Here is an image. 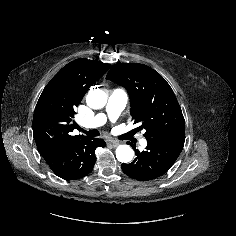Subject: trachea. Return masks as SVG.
Returning a JSON list of instances; mask_svg holds the SVG:
<instances>
[{"instance_id":"trachea-1","label":"trachea","mask_w":236,"mask_h":236,"mask_svg":"<svg viewBox=\"0 0 236 236\" xmlns=\"http://www.w3.org/2000/svg\"><path fill=\"white\" fill-rule=\"evenodd\" d=\"M78 130L85 133L86 135H88L90 137H96V136H99V134H100L97 129H92V130L87 131V130H84L79 127Z\"/></svg>"}]
</instances>
